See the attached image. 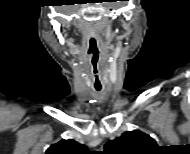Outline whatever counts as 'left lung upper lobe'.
<instances>
[{
  "label": "left lung upper lobe",
  "instance_id": "1",
  "mask_svg": "<svg viewBox=\"0 0 190 154\" xmlns=\"http://www.w3.org/2000/svg\"><path fill=\"white\" fill-rule=\"evenodd\" d=\"M158 148L155 140L149 135L134 130L125 132L105 145V154H148Z\"/></svg>",
  "mask_w": 190,
  "mask_h": 154
}]
</instances>
